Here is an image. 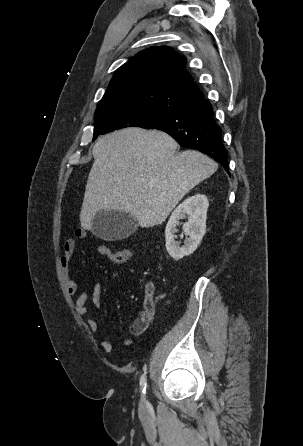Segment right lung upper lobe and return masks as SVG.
<instances>
[{
	"instance_id": "right-lung-upper-lobe-1",
	"label": "right lung upper lobe",
	"mask_w": 303,
	"mask_h": 446,
	"mask_svg": "<svg viewBox=\"0 0 303 446\" xmlns=\"http://www.w3.org/2000/svg\"><path fill=\"white\" fill-rule=\"evenodd\" d=\"M186 59L169 47L139 52L114 74L97 108L138 104L164 112L204 97L185 69Z\"/></svg>"
}]
</instances>
